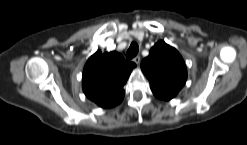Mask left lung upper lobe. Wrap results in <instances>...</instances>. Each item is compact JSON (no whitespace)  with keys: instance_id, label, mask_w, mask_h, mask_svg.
<instances>
[{"instance_id":"obj_1","label":"left lung upper lobe","mask_w":247,"mask_h":145,"mask_svg":"<svg viewBox=\"0 0 247 145\" xmlns=\"http://www.w3.org/2000/svg\"><path fill=\"white\" fill-rule=\"evenodd\" d=\"M152 92L175 97L187 79L185 63L178 51L164 41L157 42L141 63Z\"/></svg>"}]
</instances>
